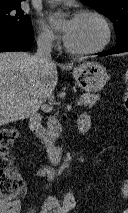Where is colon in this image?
Returning <instances> with one entry per match:
<instances>
[{
	"instance_id": "5ec220e1",
	"label": "colon",
	"mask_w": 128,
	"mask_h": 213,
	"mask_svg": "<svg viewBox=\"0 0 128 213\" xmlns=\"http://www.w3.org/2000/svg\"><path fill=\"white\" fill-rule=\"evenodd\" d=\"M126 84L124 106L128 111V70L123 75ZM19 135L14 127L0 130V200L13 201L23 195L25 190L24 180L12 164L10 148ZM122 192L128 197V178L124 180ZM75 196L68 192L61 203L60 213H70L75 207Z\"/></svg>"
}]
</instances>
